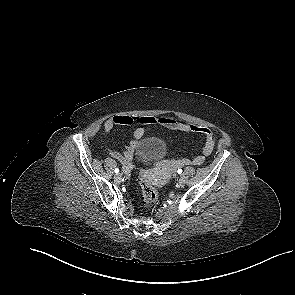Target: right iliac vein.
Segmentation results:
<instances>
[{"mask_svg":"<svg viewBox=\"0 0 295 295\" xmlns=\"http://www.w3.org/2000/svg\"><path fill=\"white\" fill-rule=\"evenodd\" d=\"M122 178V174L121 173H117L116 175H115V179L116 180H120Z\"/></svg>","mask_w":295,"mask_h":295,"instance_id":"obj_1","label":"right iliac vein"}]
</instances>
